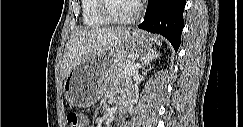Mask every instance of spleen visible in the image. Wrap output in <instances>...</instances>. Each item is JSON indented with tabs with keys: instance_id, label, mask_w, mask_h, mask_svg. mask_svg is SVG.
Masks as SVG:
<instances>
[{
	"instance_id": "1",
	"label": "spleen",
	"mask_w": 243,
	"mask_h": 127,
	"mask_svg": "<svg viewBox=\"0 0 243 127\" xmlns=\"http://www.w3.org/2000/svg\"><path fill=\"white\" fill-rule=\"evenodd\" d=\"M155 41L157 42L158 45H161V42L160 41H157V40H155Z\"/></svg>"
}]
</instances>
